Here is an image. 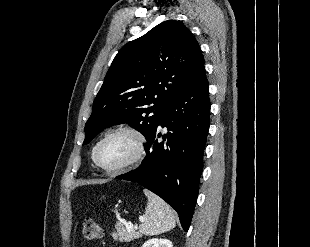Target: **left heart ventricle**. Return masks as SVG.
I'll list each match as a JSON object with an SVG mask.
<instances>
[{"instance_id": "obj_1", "label": "left heart ventricle", "mask_w": 310, "mask_h": 247, "mask_svg": "<svg viewBox=\"0 0 310 247\" xmlns=\"http://www.w3.org/2000/svg\"><path fill=\"white\" fill-rule=\"evenodd\" d=\"M135 151V141L128 134H117L104 142L98 159L105 167H115L132 157Z\"/></svg>"}]
</instances>
